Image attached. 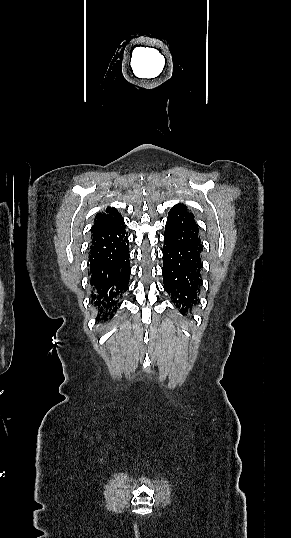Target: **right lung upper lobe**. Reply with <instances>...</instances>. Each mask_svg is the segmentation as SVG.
Masks as SVG:
<instances>
[{
  "label": "right lung upper lobe",
  "instance_id": "1",
  "mask_svg": "<svg viewBox=\"0 0 291 538\" xmlns=\"http://www.w3.org/2000/svg\"><path fill=\"white\" fill-rule=\"evenodd\" d=\"M121 221H123V218L116 210V208L108 207L105 213L96 214L94 219V225L92 226L91 231L94 233L96 231L113 226Z\"/></svg>",
  "mask_w": 291,
  "mask_h": 538
}]
</instances>
